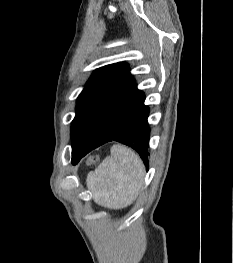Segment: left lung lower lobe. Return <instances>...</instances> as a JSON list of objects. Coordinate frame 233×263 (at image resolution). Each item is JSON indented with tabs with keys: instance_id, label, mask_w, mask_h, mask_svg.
Instances as JSON below:
<instances>
[{
	"instance_id": "obj_1",
	"label": "left lung lower lobe",
	"mask_w": 233,
	"mask_h": 263,
	"mask_svg": "<svg viewBox=\"0 0 233 263\" xmlns=\"http://www.w3.org/2000/svg\"><path fill=\"white\" fill-rule=\"evenodd\" d=\"M144 100V93L130 77L99 117L87 143L82 147L72 146V163H78L104 143L117 141L136 150L148 167L149 109Z\"/></svg>"
}]
</instances>
